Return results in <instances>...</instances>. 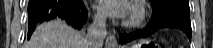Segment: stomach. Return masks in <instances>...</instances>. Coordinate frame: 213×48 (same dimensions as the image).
Masks as SVG:
<instances>
[{
	"label": "stomach",
	"instance_id": "obj_1",
	"mask_svg": "<svg viewBox=\"0 0 213 48\" xmlns=\"http://www.w3.org/2000/svg\"><path fill=\"white\" fill-rule=\"evenodd\" d=\"M168 31L169 30H161L160 34H163V33L168 32ZM149 45H150L149 41L142 40L137 44H134L132 46H128V47H125V48H142L143 46H149ZM154 46L157 47V48H160V46L158 44H154Z\"/></svg>",
	"mask_w": 213,
	"mask_h": 48
}]
</instances>
